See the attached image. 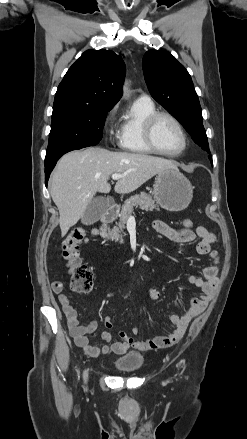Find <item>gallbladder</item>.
<instances>
[{"label":"gallbladder","instance_id":"obj_1","mask_svg":"<svg viewBox=\"0 0 247 439\" xmlns=\"http://www.w3.org/2000/svg\"><path fill=\"white\" fill-rule=\"evenodd\" d=\"M109 206V201L102 197L98 196L92 199V201L87 206V209L82 216V223L85 225H91L97 222L100 217L104 214L106 209Z\"/></svg>","mask_w":247,"mask_h":439}]
</instances>
